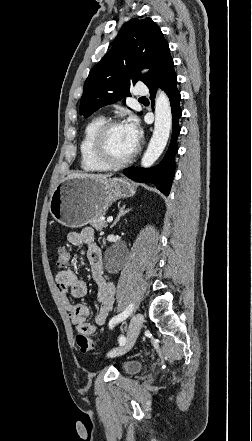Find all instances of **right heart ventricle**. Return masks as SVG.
Returning a JSON list of instances; mask_svg holds the SVG:
<instances>
[{"instance_id":"obj_1","label":"right heart ventricle","mask_w":252,"mask_h":441,"mask_svg":"<svg viewBox=\"0 0 252 441\" xmlns=\"http://www.w3.org/2000/svg\"><path fill=\"white\" fill-rule=\"evenodd\" d=\"M105 121L103 116H95L84 127L79 144L80 166L85 172H103L107 168L98 162L91 152V141L96 129Z\"/></svg>"}]
</instances>
